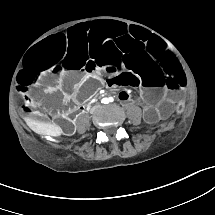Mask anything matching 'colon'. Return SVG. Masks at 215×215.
<instances>
[{
  "mask_svg": "<svg viewBox=\"0 0 215 215\" xmlns=\"http://www.w3.org/2000/svg\"><path fill=\"white\" fill-rule=\"evenodd\" d=\"M35 102H38V103H40L41 104V102L40 101H38V100H34ZM180 109H181V107H180ZM25 111L26 112H31L32 111V109L29 107V106H27L26 108H25Z\"/></svg>",
  "mask_w": 215,
  "mask_h": 215,
  "instance_id": "colon-1",
  "label": "colon"
}]
</instances>
